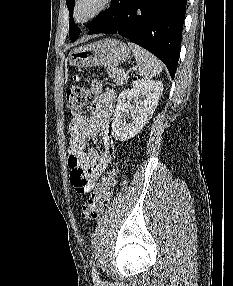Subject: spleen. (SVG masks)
Here are the masks:
<instances>
[{
  "instance_id": "spleen-1",
  "label": "spleen",
  "mask_w": 233,
  "mask_h": 286,
  "mask_svg": "<svg viewBox=\"0 0 233 286\" xmlns=\"http://www.w3.org/2000/svg\"><path fill=\"white\" fill-rule=\"evenodd\" d=\"M128 46L132 49L137 64L139 66L138 71L141 76L145 79L156 76L162 71L161 62L149 51L143 49L142 47L129 42Z\"/></svg>"
}]
</instances>
